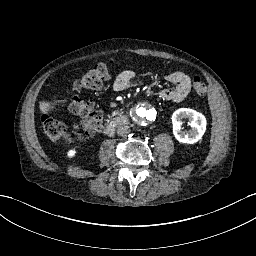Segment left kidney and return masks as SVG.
Masks as SVG:
<instances>
[{
  "label": "left kidney",
  "mask_w": 256,
  "mask_h": 256,
  "mask_svg": "<svg viewBox=\"0 0 256 256\" xmlns=\"http://www.w3.org/2000/svg\"><path fill=\"white\" fill-rule=\"evenodd\" d=\"M188 118L191 129L182 131V119ZM173 134L182 143L193 144L201 139L206 130V119L203 114L190 109L179 108L172 115Z\"/></svg>",
  "instance_id": "5707ae66"
}]
</instances>
